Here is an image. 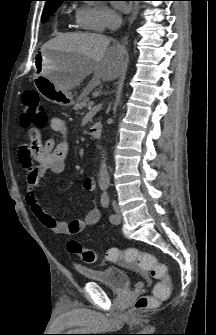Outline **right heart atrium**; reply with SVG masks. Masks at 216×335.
Segmentation results:
<instances>
[{
  "label": "right heart atrium",
  "mask_w": 216,
  "mask_h": 335,
  "mask_svg": "<svg viewBox=\"0 0 216 335\" xmlns=\"http://www.w3.org/2000/svg\"><path fill=\"white\" fill-rule=\"evenodd\" d=\"M78 24L88 30L102 32L110 23L119 21V16L102 4L83 5L76 12Z\"/></svg>",
  "instance_id": "d8ad5b80"
}]
</instances>
